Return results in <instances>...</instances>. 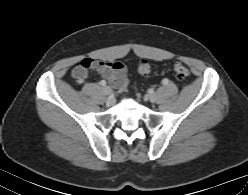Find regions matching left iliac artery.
I'll return each mask as SVG.
<instances>
[{
	"label": "left iliac artery",
	"instance_id": "1",
	"mask_svg": "<svg viewBox=\"0 0 248 195\" xmlns=\"http://www.w3.org/2000/svg\"><path fill=\"white\" fill-rule=\"evenodd\" d=\"M162 83H163L164 85H167V84H168V79H163V80H162Z\"/></svg>",
	"mask_w": 248,
	"mask_h": 195
}]
</instances>
